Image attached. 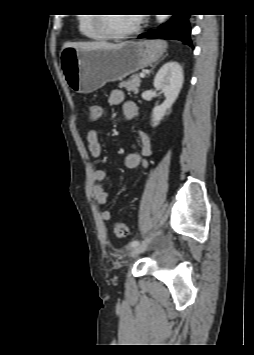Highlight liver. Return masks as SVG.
Wrapping results in <instances>:
<instances>
[{"label":"liver","mask_w":254,"mask_h":355,"mask_svg":"<svg viewBox=\"0 0 254 355\" xmlns=\"http://www.w3.org/2000/svg\"><path fill=\"white\" fill-rule=\"evenodd\" d=\"M123 43L120 44H112L104 41H96V42H73V43H65L63 48L66 47H74L76 49L82 50H90V49H110L117 48L122 46Z\"/></svg>","instance_id":"liver-1"}]
</instances>
